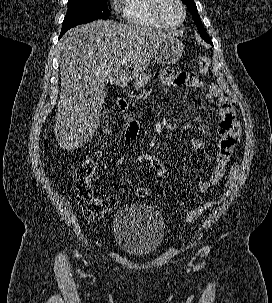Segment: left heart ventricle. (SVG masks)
<instances>
[{"label":"left heart ventricle","mask_w":272,"mask_h":303,"mask_svg":"<svg viewBox=\"0 0 272 303\" xmlns=\"http://www.w3.org/2000/svg\"><path fill=\"white\" fill-rule=\"evenodd\" d=\"M163 15L169 23L175 24L181 19V9L173 0H168L164 5Z\"/></svg>","instance_id":"left-heart-ventricle-1"}]
</instances>
